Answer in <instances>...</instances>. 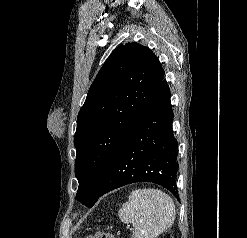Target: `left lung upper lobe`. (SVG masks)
I'll return each mask as SVG.
<instances>
[{
    "instance_id": "left-lung-upper-lobe-1",
    "label": "left lung upper lobe",
    "mask_w": 247,
    "mask_h": 238,
    "mask_svg": "<svg viewBox=\"0 0 247 238\" xmlns=\"http://www.w3.org/2000/svg\"><path fill=\"white\" fill-rule=\"evenodd\" d=\"M164 78L153 52L138 43L117 47L94 82L74 137L77 199L92 207L117 151L144 114Z\"/></svg>"
}]
</instances>
